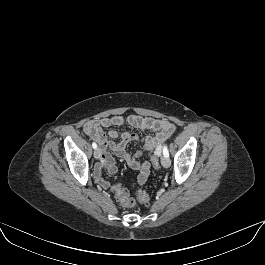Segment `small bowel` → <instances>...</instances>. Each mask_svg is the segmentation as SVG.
I'll return each instance as SVG.
<instances>
[{"instance_id":"obj_1","label":"small bowel","mask_w":265,"mask_h":265,"mask_svg":"<svg viewBox=\"0 0 265 265\" xmlns=\"http://www.w3.org/2000/svg\"><path fill=\"white\" fill-rule=\"evenodd\" d=\"M143 130V131H153L155 134L153 136L139 137L131 132H124L121 134L120 142H115L113 140H108L106 134L103 131V127L110 126H121L124 123ZM84 132L93 140H95L103 149L101 162L95 169V178L98 184L106 189L109 184L101 177V168H107L110 174L116 173V166L113 157L106 151L110 149L114 154L123 159L126 164L133 170L139 171L137 182L139 185L145 184L147 181L151 165L148 161H140L139 158L142 156L143 152L148 154L155 152L159 146L171 136L175 130V126L166 119H158L153 117H146L140 115H130L124 118L120 115H113L110 117H103L99 119H92L85 123ZM108 136L111 139H116L119 137L117 130L112 129L108 132ZM137 141L142 146V151L131 155L127 153L126 146Z\"/></svg>"}]
</instances>
